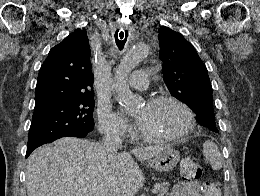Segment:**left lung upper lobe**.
Instances as JSON below:
<instances>
[{
  "mask_svg": "<svg viewBox=\"0 0 260 196\" xmlns=\"http://www.w3.org/2000/svg\"><path fill=\"white\" fill-rule=\"evenodd\" d=\"M158 38L162 73L172 96L194 112L200 109L214 111L208 72L192 44L166 26L159 28ZM205 127L218 133L215 122Z\"/></svg>",
  "mask_w": 260,
  "mask_h": 196,
  "instance_id": "obj_1",
  "label": "left lung upper lobe"
}]
</instances>
